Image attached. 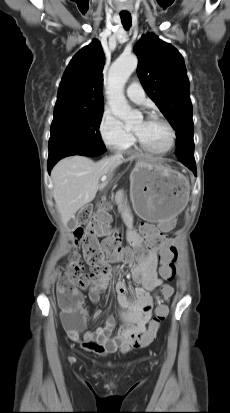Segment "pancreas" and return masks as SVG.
I'll use <instances>...</instances> for the list:
<instances>
[{"label": "pancreas", "mask_w": 230, "mask_h": 413, "mask_svg": "<svg viewBox=\"0 0 230 413\" xmlns=\"http://www.w3.org/2000/svg\"><path fill=\"white\" fill-rule=\"evenodd\" d=\"M115 202L119 206V211L121 212L122 216L125 219V222H128V215L126 214L125 211H129L128 205H127V200L124 198V193L123 191H118L115 195Z\"/></svg>", "instance_id": "obj_1"}]
</instances>
